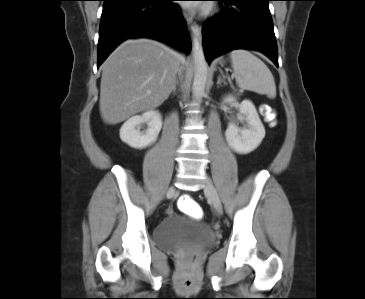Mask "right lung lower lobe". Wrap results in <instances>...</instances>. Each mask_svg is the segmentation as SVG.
<instances>
[{
  "instance_id": "98d812e1",
  "label": "right lung lower lobe",
  "mask_w": 365,
  "mask_h": 299,
  "mask_svg": "<svg viewBox=\"0 0 365 299\" xmlns=\"http://www.w3.org/2000/svg\"><path fill=\"white\" fill-rule=\"evenodd\" d=\"M103 1L97 67L128 38H152L180 51H191L185 20L173 0Z\"/></svg>"
}]
</instances>
